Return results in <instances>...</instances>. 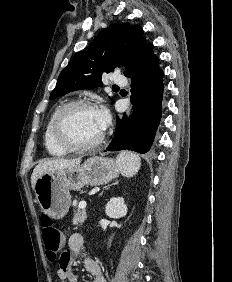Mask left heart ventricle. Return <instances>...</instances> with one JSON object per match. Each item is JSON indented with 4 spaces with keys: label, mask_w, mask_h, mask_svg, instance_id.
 <instances>
[{
    "label": "left heart ventricle",
    "mask_w": 232,
    "mask_h": 282,
    "mask_svg": "<svg viewBox=\"0 0 232 282\" xmlns=\"http://www.w3.org/2000/svg\"><path fill=\"white\" fill-rule=\"evenodd\" d=\"M96 109L76 107L71 109L64 117L62 133L75 144H89L102 134Z\"/></svg>",
    "instance_id": "b2bd125f"
}]
</instances>
